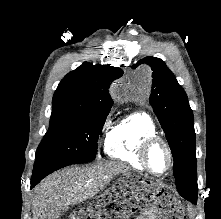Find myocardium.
Segmentation results:
<instances>
[{"label":"myocardium","instance_id":"f54148a6","mask_svg":"<svg viewBox=\"0 0 221 219\" xmlns=\"http://www.w3.org/2000/svg\"><path fill=\"white\" fill-rule=\"evenodd\" d=\"M155 145L163 146V148L165 149L167 156H168L169 164H168V168L166 169V171L164 173L155 172L149 162V152H150L151 148ZM138 156H139L141 163L145 167V169L149 173H151L152 175H154L156 177H162V176L169 174L173 168V165H174L173 152H172V149H171L169 143L165 139H163L162 137H160L158 135H152V136H149V137L145 138L144 140H142V142L140 143V146H139Z\"/></svg>","mask_w":221,"mask_h":219}]
</instances>
